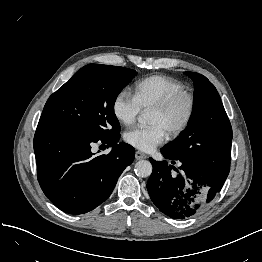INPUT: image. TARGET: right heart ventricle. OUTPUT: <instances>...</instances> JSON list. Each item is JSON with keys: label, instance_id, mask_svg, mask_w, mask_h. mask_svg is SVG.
<instances>
[{"label": "right heart ventricle", "instance_id": "obj_1", "mask_svg": "<svg viewBox=\"0 0 262 262\" xmlns=\"http://www.w3.org/2000/svg\"><path fill=\"white\" fill-rule=\"evenodd\" d=\"M182 90L184 85L179 80L158 74L139 81L134 87V97L142 110H148L165 97Z\"/></svg>", "mask_w": 262, "mask_h": 262}]
</instances>
